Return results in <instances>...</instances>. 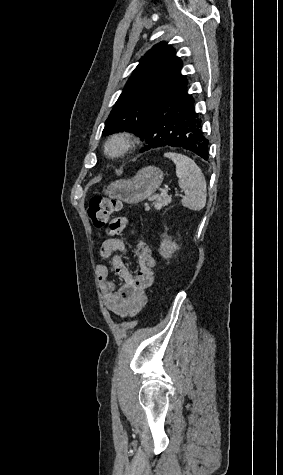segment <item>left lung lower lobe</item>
I'll return each instance as SVG.
<instances>
[{
    "instance_id": "0a47b994",
    "label": "left lung lower lobe",
    "mask_w": 283,
    "mask_h": 475,
    "mask_svg": "<svg viewBox=\"0 0 283 475\" xmlns=\"http://www.w3.org/2000/svg\"><path fill=\"white\" fill-rule=\"evenodd\" d=\"M187 80L178 84L153 108L139 136L146 140L140 152L171 146L209 158V141L202 131V121L194 109V99L187 93Z\"/></svg>"
}]
</instances>
